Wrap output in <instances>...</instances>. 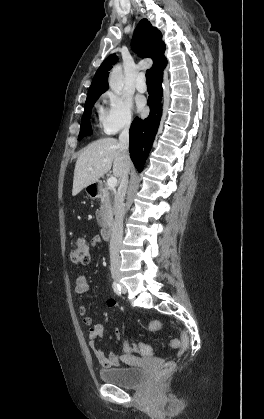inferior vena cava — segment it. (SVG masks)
I'll list each match as a JSON object with an SVG mask.
<instances>
[{"mask_svg": "<svg viewBox=\"0 0 264 419\" xmlns=\"http://www.w3.org/2000/svg\"><path fill=\"white\" fill-rule=\"evenodd\" d=\"M129 127L130 122H128L124 129L122 130L119 136V144L122 152V156L125 162L123 174L121 176L120 187L118 189L114 211H115V219L112 224V234L110 239V261H111V271H119L120 269V256H119V249L121 246L122 238H123V219H124V198L127 190L128 185V161L130 160L129 157Z\"/></svg>", "mask_w": 264, "mask_h": 419, "instance_id": "1", "label": "inferior vena cava"}]
</instances>
